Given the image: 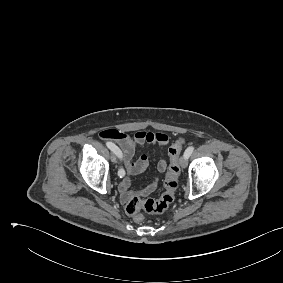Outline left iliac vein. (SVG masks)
I'll use <instances>...</instances> for the list:
<instances>
[{
	"mask_svg": "<svg viewBox=\"0 0 283 283\" xmlns=\"http://www.w3.org/2000/svg\"><path fill=\"white\" fill-rule=\"evenodd\" d=\"M187 157H185L184 155L180 158V165L182 168H186L187 167Z\"/></svg>",
	"mask_w": 283,
	"mask_h": 283,
	"instance_id": "4c4485c4",
	"label": "left iliac vein"
}]
</instances>
